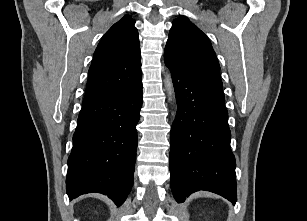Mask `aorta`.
<instances>
[{
	"label": "aorta",
	"instance_id": "aorta-1",
	"mask_svg": "<svg viewBox=\"0 0 307 221\" xmlns=\"http://www.w3.org/2000/svg\"><path fill=\"white\" fill-rule=\"evenodd\" d=\"M165 87L168 92L169 100L172 101L174 96V89H173L171 75L169 73H166L165 75Z\"/></svg>",
	"mask_w": 307,
	"mask_h": 221
}]
</instances>
